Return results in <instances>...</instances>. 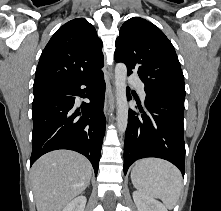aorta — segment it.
<instances>
[{
    "instance_id": "762f6f07",
    "label": "aorta",
    "mask_w": 221,
    "mask_h": 211,
    "mask_svg": "<svg viewBox=\"0 0 221 211\" xmlns=\"http://www.w3.org/2000/svg\"><path fill=\"white\" fill-rule=\"evenodd\" d=\"M127 67L123 63H118L115 67V86L117 101V126L119 133L126 131L128 124V103L126 96Z\"/></svg>"
}]
</instances>
